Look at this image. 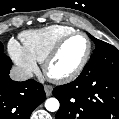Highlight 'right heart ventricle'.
<instances>
[{
	"mask_svg": "<svg viewBox=\"0 0 119 119\" xmlns=\"http://www.w3.org/2000/svg\"><path fill=\"white\" fill-rule=\"evenodd\" d=\"M75 31L66 25H51L22 33L21 40L29 55L42 63L54 45L66 34Z\"/></svg>",
	"mask_w": 119,
	"mask_h": 119,
	"instance_id": "right-heart-ventricle-1",
	"label": "right heart ventricle"
}]
</instances>
